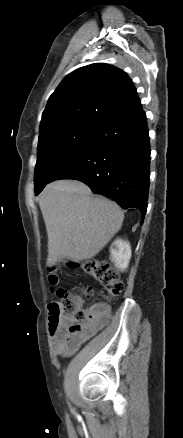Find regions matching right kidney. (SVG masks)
<instances>
[{
    "instance_id": "ca27d5eb",
    "label": "right kidney",
    "mask_w": 183,
    "mask_h": 438,
    "mask_svg": "<svg viewBox=\"0 0 183 438\" xmlns=\"http://www.w3.org/2000/svg\"><path fill=\"white\" fill-rule=\"evenodd\" d=\"M110 254L116 268L124 271L128 267L131 258L130 243L122 239H116L110 247Z\"/></svg>"
}]
</instances>
